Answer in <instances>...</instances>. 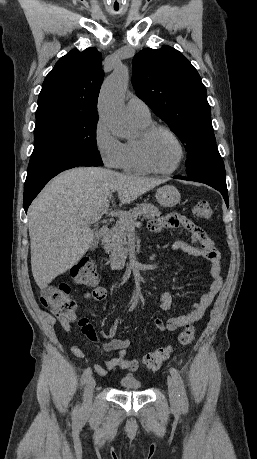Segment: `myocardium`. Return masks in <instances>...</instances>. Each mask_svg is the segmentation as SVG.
<instances>
[{
  "instance_id": "1",
  "label": "myocardium",
  "mask_w": 257,
  "mask_h": 459,
  "mask_svg": "<svg viewBox=\"0 0 257 459\" xmlns=\"http://www.w3.org/2000/svg\"><path fill=\"white\" fill-rule=\"evenodd\" d=\"M160 131L165 132L170 137H172V139L176 142L179 148V152H180V155H179V158L176 164L172 168L167 169V170L160 169L157 166H155L149 156V150H148L149 142L151 138L157 132H160ZM137 148H138L139 157L143 165L147 169H149L151 172L162 174V175H170L176 172L180 168V166L182 165L186 157V150L179 136L174 131H172L169 127L161 125V124H150L146 128L142 129L137 138Z\"/></svg>"
}]
</instances>
